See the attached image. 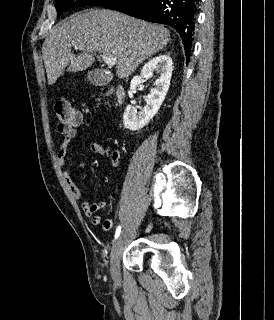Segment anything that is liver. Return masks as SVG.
Returning a JSON list of instances; mask_svg holds the SVG:
<instances>
[{
  "label": "liver",
  "instance_id": "obj_1",
  "mask_svg": "<svg viewBox=\"0 0 274 320\" xmlns=\"http://www.w3.org/2000/svg\"><path fill=\"white\" fill-rule=\"evenodd\" d=\"M170 32L112 10H83L54 26L42 46L47 82H57L63 70L83 72L95 62L93 54H109L117 60V78H129L144 60L167 46ZM82 54L76 56L72 48Z\"/></svg>",
  "mask_w": 274,
  "mask_h": 320
}]
</instances>
